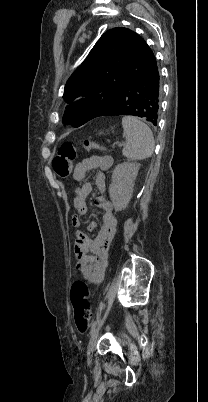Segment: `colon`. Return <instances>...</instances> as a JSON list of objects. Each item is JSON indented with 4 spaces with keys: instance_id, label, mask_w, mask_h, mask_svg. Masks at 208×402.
I'll list each match as a JSON object with an SVG mask.
<instances>
[{
    "instance_id": "1",
    "label": "colon",
    "mask_w": 208,
    "mask_h": 402,
    "mask_svg": "<svg viewBox=\"0 0 208 402\" xmlns=\"http://www.w3.org/2000/svg\"><path fill=\"white\" fill-rule=\"evenodd\" d=\"M81 149L86 151L105 150L104 147L90 141H85L82 146H75L68 141L62 142L52 160V169L58 177L67 178L70 176L73 163ZM89 296L90 290L85 282L81 280L73 282L71 299L74 306V321L81 333H85L88 330L93 314Z\"/></svg>"
}]
</instances>
